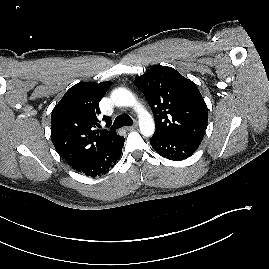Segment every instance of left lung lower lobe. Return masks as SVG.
<instances>
[{
	"label": "left lung lower lobe",
	"instance_id": "left-lung-lower-lobe-1",
	"mask_svg": "<svg viewBox=\"0 0 269 269\" xmlns=\"http://www.w3.org/2000/svg\"><path fill=\"white\" fill-rule=\"evenodd\" d=\"M202 139L201 137H168L154 134L150 144L160 156L180 161L191 156Z\"/></svg>",
	"mask_w": 269,
	"mask_h": 269
}]
</instances>
